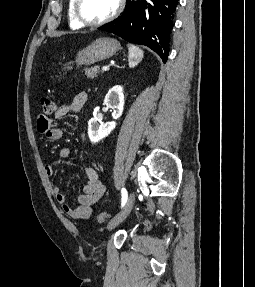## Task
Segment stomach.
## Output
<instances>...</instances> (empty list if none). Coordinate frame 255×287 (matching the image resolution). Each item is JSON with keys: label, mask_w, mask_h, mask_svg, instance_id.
<instances>
[{"label": "stomach", "mask_w": 255, "mask_h": 287, "mask_svg": "<svg viewBox=\"0 0 255 287\" xmlns=\"http://www.w3.org/2000/svg\"><path fill=\"white\" fill-rule=\"evenodd\" d=\"M118 50H121V46L117 40H113V38H97L87 48L77 52L76 64L78 66H90L94 62H101V60L111 58Z\"/></svg>", "instance_id": "1"}]
</instances>
